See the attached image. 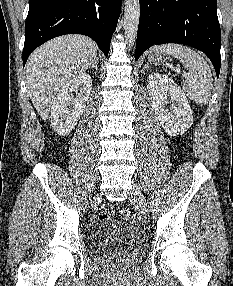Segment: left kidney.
I'll use <instances>...</instances> for the list:
<instances>
[{
	"instance_id": "obj_1",
	"label": "left kidney",
	"mask_w": 233,
	"mask_h": 286,
	"mask_svg": "<svg viewBox=\"0 0 233 286\" xmlns=\"http://www.w3.org/2000/svg\"><path fill=\"white\" fill-rule=\"evenodd\" d=\"M147 89L154 113L163 129L171 136L184 134L193 124L192 110L183 90L174 81L159 73L147 79ZM170 96L173 104L166 108Z\"/></svg>"
}]
</instances>
